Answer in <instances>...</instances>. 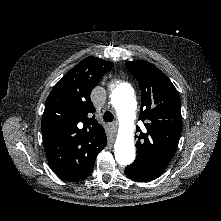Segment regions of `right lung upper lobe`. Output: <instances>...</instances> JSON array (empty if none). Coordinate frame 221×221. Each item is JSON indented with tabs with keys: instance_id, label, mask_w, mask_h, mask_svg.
I'll list each match as a JSON object with an SVG mask.
<instances>
[{
	"instance_id": "1",
	"label": "right lung upper lobe",
	"mask_w": 221,
	"mask_h": 221,
	"mask_svg": "<svg viewBox=\"0 0 221 221\" xmlns=\"http://www.w3.org/2000/svg\"><path fill=\"white\" fill-rule=\"evenodd\" d=\"M111 68L108 61L87 57L66 73L46 100L41 129L47 160L66 181L85 179L106 146L90 93Z\"/></svg>"
}]
</instances>
